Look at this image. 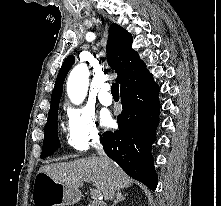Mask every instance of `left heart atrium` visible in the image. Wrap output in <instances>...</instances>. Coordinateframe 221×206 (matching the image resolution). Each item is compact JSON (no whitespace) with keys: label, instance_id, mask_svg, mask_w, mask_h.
Instances as JSON below:
<instances>
[{"label":"left heart atrium","instance_id":"obj_1","mask_svg":"<svg viewBox=\"0 0 221 206\" xmlns=\"http://www.w3.org/2000/svg\"><path fill=\"white\" fill-rule=\"evenodd\" d=\"M101 121L104 126H110L112 123L110 114L108 112H103L101 114Z\"/></svg>","mask_w":221,"mask_h":206}]
</instances>
